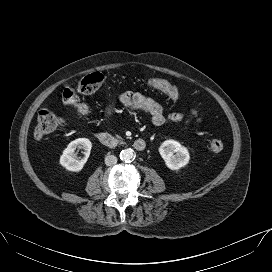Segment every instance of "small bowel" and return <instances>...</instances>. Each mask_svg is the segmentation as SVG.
I'll return each mask as SVG.
<instances>
[{
  "instance_id": "1",
  "label": "small bowel",
  "mask_w": 272,
  "mask_h": 272,
  "mask_svg": "<svg viewBox=\"0 0 272 272\" xmlns=\"http://www.w3.org/2000/svg\"><path fill=\"white\" fill-rule=\"evenodd\" d=\"M118 102L131 111H142L148 114L152 120V123L158 127L165 125L169 121L184 122L187 125L190 123V119L185 117L182 113H171L166 115L159 103L139 93H122L118 98ZM112 111L113 107L109 106L107 108L108 117L111 116ZM190 114L192 119H194L197 123L201 122V118L196 109H190Z\"/></svg>"
}]
</instances>
